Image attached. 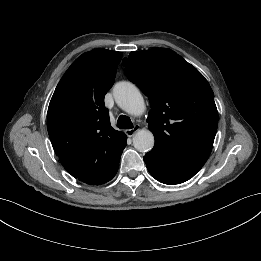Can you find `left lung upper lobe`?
<instances>
[{
  "instance_id": "left-lung-upper-lobe-1",
  "label": "left lung upper lobe",
  "mask_w": 261,
  "mask_h": 261,
  "mask_svg": "<svg viewBox=\"0 0 261 261\" xmlns=\"http://www.w3.org/2000/svg\"><path fill=\"white\" fill-rule=\"evenodd\" d=\"M122 64L128 79L149 98L152 150L176 160L206 162L218 112L203 75L170 49L131 52Z\"/></svg>"
}]
</instances>
